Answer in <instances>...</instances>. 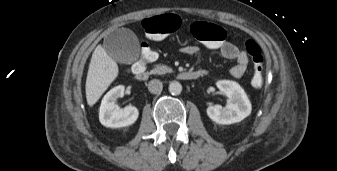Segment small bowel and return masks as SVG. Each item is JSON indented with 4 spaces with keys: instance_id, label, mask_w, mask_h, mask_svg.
<instances>
[{
    "instance_id": "1",
    "label": "small bowel",
    "mask_w": 337,
    "mask_h": 171,
    "mask_svg": "<svg viewBox=\"0 0 337 171\" xmlns=\"http://www.w3.org/2000/svg\"><path fill=\"white\" fill-rule=\"evenodd\" d=\"M219 51L225 59L236 62L230 69V74L235 78L243 76L249 63L247 53L229 41L224 42L223 46L219 48ZM182 52L188 55H196L200 52V49L194 45H187L182 48Z\"/></svg>"
}]
</instances>
